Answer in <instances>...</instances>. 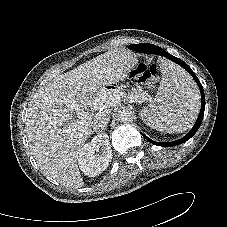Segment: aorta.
Listing matches in <instances>:
<instances>
[{"label":"aorta","mask_w":227,"mask_h":227,"mask_svg":"<svg viewBox=\"0 0 227 227\" xmlns=\"http://www.w3.org/2000/svg\"><path fill=\"white\" fill-rule=\"evenodd\" d=\"M135 114L131 109H122L118 112V119L122 123H131L134 120Z\"/></svg>","instance_id":"762f6f07"}]
</instances>
